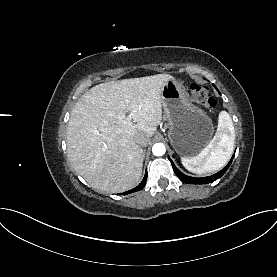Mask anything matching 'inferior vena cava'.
I'll list each match as a JSON object with an SVG mask.
<instances>
[{
	"label": "inferior vena cava",
	"instance_id": "1",
	"mask_svg": "<svg viewBox=\"0 0 277 277\" xmlns=\"http://www.w3.org/2000/svg\"><path fill=\"white\" fill-rule=\"evenodd\" d=\"M135 141L137 144H139L141 147H145L150 142V139L143 133H138L135 136Z\"/></svg>",
	"mask_w": 277,
	"mask_h": 277
}]
</instances>
